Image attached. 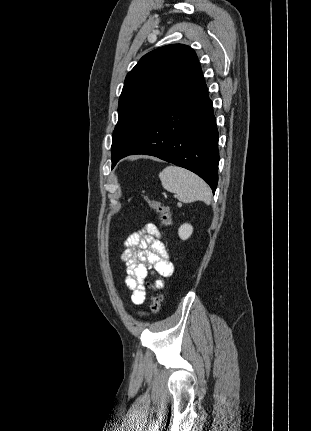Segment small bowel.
<instances>
[{"mask_svg": "<svg viewBox=\"0 0 311 431\" xmlns=\"http://www.w3.org/2000/svg\"><path fill=\"white\" fill-rule=\"evenodd\" d=\"M157 237V227L148 223L145 229L131 234L124 242L121 258L127 267L125 284L132 292L131 301L135 305L145 300L144 280L149 273L158 277L154 287L160 290L164 285L161 278L173 272L166 247Z\"/></svg>", "mask_w": 311, "mask_h": 431, "instance_id": "obj_1", "label": "small bowel"}]
</instances>
